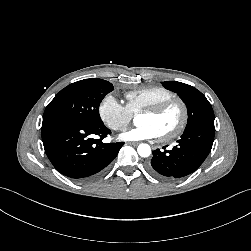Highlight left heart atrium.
<instances>
[{
	"label": "left heart atrium",
	"mask_w": 251,
	"mask_h": 251,
	"mask_svg": "<svg viewBox=\"0 0 251 251\" xmlns=\"http://www.w3.org/2000/svg\"><path fill=\"white\" fill-rule=\"evenodd\" d=\"M159 137L157 130L149 124H139L120 135L126 141H141Z\"/></svg>",
	"instance_id": "1"
}]
</instances>
